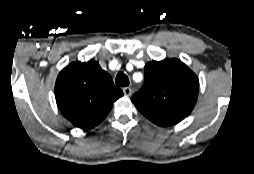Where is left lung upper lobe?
Here are the masks:
<instances>
[{
	"label": "left lung upper lobe",
	"mask_w": 254,
	"mask_h": 174,
	"mask_svg": "<svg viewBox=\"0 0 254 174\" xmlns=\"http://www.w3.org/2000/svg\"><path fill=\"white\" fill-rule=\"evenodd\" d=\"M145 81L131 101L150 121L176 124L194 108L199 92L195 73L178 59L148 62Z\"/></svg>",
	"instance_id": "1"
}]
</instances>
